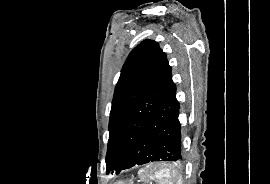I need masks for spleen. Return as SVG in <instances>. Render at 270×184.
Instances as JSON below:
<instances>
[{"instance_id":"obj_1","label":"spleen","mask_w":270,"mask_h":184,"mask_svg":"<svg viewBox=\"0 0 270 184\" xmlns=\"http://www.w3.org/2000/svg\"><path fill=\"white\" fill-rule=\"evenodd\" d=\"M141 179L149 182L152 179L159 181V184H182L181 175L173 167L148 165L139 172Z\"/></svg>"}]
</instances>
